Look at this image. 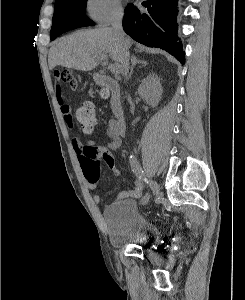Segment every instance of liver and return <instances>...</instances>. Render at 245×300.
Instances as JSON below:
<instances>
[{
	"label": "liver",
	"instance_id": "obj_1",
	"mask_svg": "<svg viewBox=\"0 0 245 300\" xmlns=\"http://www.w3.org/2000/svg\"><path fill=\"white\" fill-rule=\"evenodd\" d=\"M131 45L130 39H125ZM111 58L124 71V46L113 28L77 31L56 41L48 56L49 68L57 65L81 71H91L102 56Z\"/></svg>",
	"mask_w": 245,
	"mask_h": 300
}]
</instances>
